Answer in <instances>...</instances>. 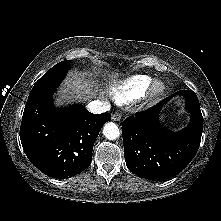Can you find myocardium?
<instances>
[{
    "mask_svg": "<svg viewBox=\"0 0 221 221\" xmlns=\"http://www.w3.org/2000/svg\"><path fill=\"white\" fill-rule=\"evenodd\" d=\"M167 86L161 79H154L148 90L146 91V98L149 103H154L159 100L166 92Z\"/></svg>",
    "mask_w": 221,
    "mask_h": 221,
    "instance_id": "myocardium-1",
    "label": "myocardium"
}]
</instances>
